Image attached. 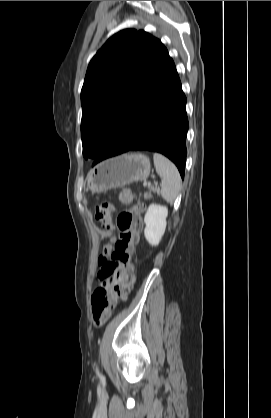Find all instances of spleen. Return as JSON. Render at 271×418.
<instances>
[{"label":"spleen","instance_id":"obj_1","mask_svg":"<svg viewBox=\"0 0 271 418\" xmlns=\"http://www.w3.org/2000/svg\"><path fill=\"white\" fill-rule=\"evenodd\" d=\"M156 172L161 177V196L168 203H173L181 190V177L177 167L165 156L153 155Z\"/></svg>","mask_w":271,"mask_h":418}]
</instances>
